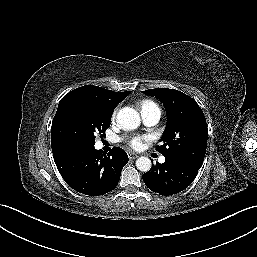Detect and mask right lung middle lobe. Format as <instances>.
Listing matches in <instances>:
<instances>
[{"instance_id": "dd1d6c3e", "label": "right lung middle lobe", "mask_w": 257, "mask_h": 257, "mask_svg": "<svg viewBox=\"0 0 257 257\" xmlns=\"http://www.w3.org/2000/svg\"><path fill=\"white\" fill-rule=\"evenodd\" d=\"M101 99L82 93H68L59 102L54 121L57 134L51 136V146H94L95 134L105 135L113 113Z\"/></svg>"}]
</instances>
